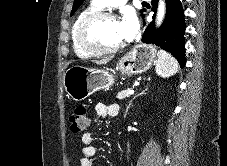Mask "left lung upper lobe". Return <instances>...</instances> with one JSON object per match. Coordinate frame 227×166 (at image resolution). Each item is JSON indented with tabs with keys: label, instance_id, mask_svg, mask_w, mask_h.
Returning <instances> with one entry per match:
<instances>
[{
	"label": "left lung upper lobe",
	"instance_id": "left-lung-upper-lobe-1",
	"mask_svg": "<svg viewBox=\"0 0 227 166\" xmlns=\"http://www.w3.org/2000/svg\"><path fill=\"white\" fill-rule=\"evenodd\" d=\"M84 0H75L73 4V9L71 11V16L75 13V11L78 9V7L83 3ZM142 10L141 12H143Z\"/></svg>",
	"mask_w": 227,
	"mask_h": 166
}]
</instances>
